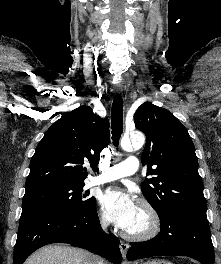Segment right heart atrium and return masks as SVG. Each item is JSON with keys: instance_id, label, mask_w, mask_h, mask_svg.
Instances as JSON below:
<instances>
[{"instance_id": "d8ad5b80", "label": "right heart atrium", "mask_w": 221, "mask_h": 264, "mask_svg": "<svg viewBox=\"0 0 221 264\" xmlns=\"http://www.w3.org/2000/svg\"><path fill=\"white\" fill-rule=\"evenodd\" d=\"M99 224H100L101 227H106L107 226V221L105 220L104 217H102V216L100 217Z\"/></svg>"}]
</instances>
